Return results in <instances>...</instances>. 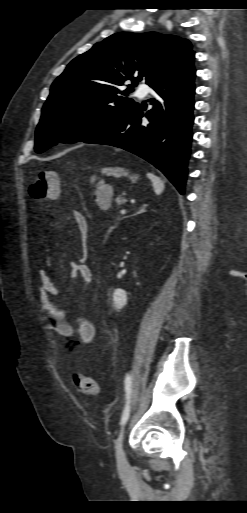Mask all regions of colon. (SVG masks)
<instances>
[{
  "label": "colon",
  "mask_w": 247,
  "mask_h": 513,
  "mask_svg": "<svg viewBox=\"0 0 247 513\" xmlns=\"http://www.w3.org/2000/svg\"><path fill=\"white\" fill-rule=\"evenodd\" d=\"M95 192L96 201L102 208L110 206L112 187L108 182H99L95 187ZM29 193L34 200H56L60 194L58 175L53 171L40 172L30 185ZM73 384L79 391L87 395H94L97 392L96 383L90 376L75 374Z\"/></svg>",
  "instance_id": "1"
}]
</instances>
